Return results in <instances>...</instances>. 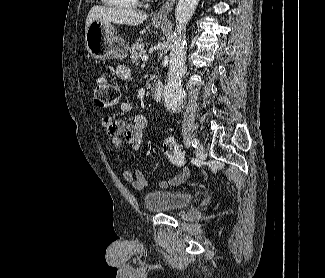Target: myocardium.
I'll use <instances>...</instances> for the list:
<instances>
[{
	"instance_id": "f54148a6",
	"label": "myocardium",
	"mask_w": 325,
	"mask_h": 278,
	"mask_svg": "<svg viewBox=\"0 0 325 278\" xmlns=\"http://www.w3.org/2000/svg\"><path fill=\"white\" fill-rule=\"evenodd\" d=\"M141 1H149V0H141Z\"/></svg>"
}]
</instances>
